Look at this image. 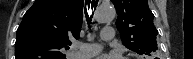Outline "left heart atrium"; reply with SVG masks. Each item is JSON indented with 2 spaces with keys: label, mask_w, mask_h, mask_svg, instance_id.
Here are the masks:
<instances>
[{
  "label": "left heart atrium",
  "mask_w": 193,
  "mask_h": 59,
  "mask_svg": "<svg viewBox=\"0 0 193 59\" xmlns=\"http://www.w3.org/2000/svg\"><path fill=\"white\" fill-rule=\"evenodd\" d=\"M97 59H120L118 55L110 54V55H102Z\"/></svg>",
  "instance_id": "left-heart-atrium-1"
}]
</instances>
